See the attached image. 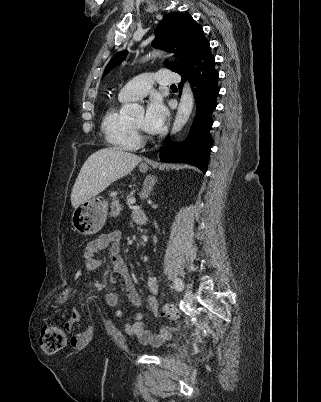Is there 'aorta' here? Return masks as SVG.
<instances>
[{"label":"aorta","instance_id":"aorta-1","mask_svg":"<svg viewBox=\"0 0 321 402\" xmlns=\"http://www.w3.org/2000/svg\"><path fill=\"white\" fill-rule=\"evenodd\" d=\"M163 54L162 51L160 50H155L152 55H148L147 57L143 58V61L147 60L148 58H150V56L152 57H156L158 55ZM193 105H194V96H193V92L192 89L190 87V84L188 82H186L184 84L183 90H182V94H181V98H180V103L177 109V114L173 123V127L171 130L172 134H176L179 131L182 130V128L185 126V124L187 123L191 113H192V109H193ZM122 110L126 113L129 114H134L137 111L141 110V107L137 104H126L124 105V107L122 108Z\"/></svg>","mask_w":321,"mask_h":402}]
</instances>
